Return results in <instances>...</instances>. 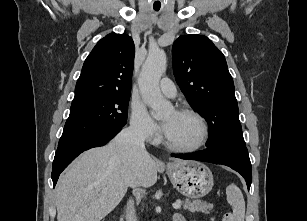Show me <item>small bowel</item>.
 I'll list each match as a JSON object with an SVG mask.
<instances>
[{
    "label": "small bowel",
    "mask_w": 307,
    "mask_h": 221,
    "mask_svg": "<svg viewBox=\"0 0 307 221\" xmlns=\"http://www.w3.org/2000/svg\"><path fill=\"white\" fill-rule=\"evenodd\" d=\"M174 221H187L182 215L177 214L174 217Z\"/></svg>",
    "instance_id": "obj_1"
}]
</instances>
